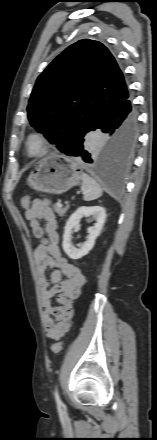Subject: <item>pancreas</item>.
Here are the masks:
<instances>
[{"mask_svg": "<svg viewBox=\"0 0 157 440\" xmlns=\"http://www.w3.org/2000/svg\"><path fill=\"white\" fill-rule=\"evenodd\" d=\"M54 209H55V212H56L60 217H63V216L65 215V213L67 212L68 207L63 208V207H61L60 205L56 204V205H54Z\"/></svg>", "mask_w": 157, "mask_h": 440, "instance_id": "1", "label": "pancreas"}]
</instances>
